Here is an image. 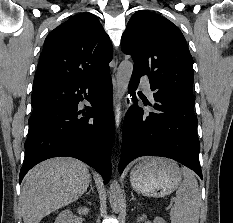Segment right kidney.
<instances>
[{
	"label": "right kidney",
	"mask_w": 233,
	"mask_h": 223,
	"mask_svg": "<svg viewBox=\"0 0 233 223\" xmlns=\"http://www.w3.org/2000/svg\"><path fill=\"white\" fill-rule=\"evenodd\" d=\"M78 213H83V215H87L89 213V207H78ZM74 215L71 209H64L59 213L58 217H56L54 223H73Z\"/></svg>",
	"instance_id": "obj_1"
}]
</instances>
